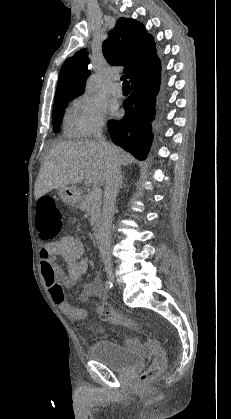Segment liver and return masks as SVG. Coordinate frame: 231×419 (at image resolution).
Masks as SVG:
<instances>
[{
    "instance_id": "liver-1",
    "label": "liver",
    "mask_w": 231,
    "mask_h": 419,
    "mask_svg": "<svg viewBox=\"0 0 231 419\" xmlns=\"http://www.w3.org/2000/svg\"><path fill=\"white\" fill-rule=\"evenodd\" d=\"M107 150V152H106ZM112 156L119 165H128L134 157L106 142L105 148L96 141L61 142L49 151L35 182L34 195L40 197L53 189L86 183L104 185Z\"/></svg>"
}]
</instances>
